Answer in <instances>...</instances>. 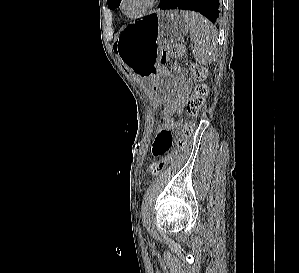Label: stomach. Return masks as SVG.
<instances>
[{
    "label": "stomach",
    "instance_id": "obj_1",
    "mask_svg": "<svg viewBox=\"0 0 299 273\" xmlns=\"http://www.w3.org/2000/svg\"><path fill=\"white\" fill-rule=\"evenodd\" d=\"M182 12L156 11L124 27L115 43L116 52L133 72L145 76L146 89L152 100L165 101L173 89L168 69L161 68L163 44L181 40L188 32Z\"/></svg>",
    "mask_w": 299,
    "mask_h": 273
}]
</instances>
